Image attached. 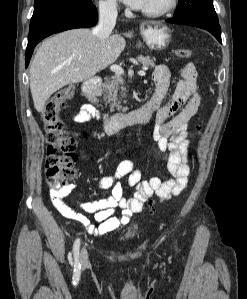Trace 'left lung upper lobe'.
<instances>
[{
	"mask_svg": "<svg viewBox=\"0 0 247 299\" xmlns=\"http://www.w3.org/2000/svg\"><path fill=\"white\" fill-rule=\"evenodd\" d=\"M194 12L218 19L212 0H179L174 17Z\"/></svg>",
	"mask_w": 247,
	"mask_h": 299,
	"instance_id": "5c2ea615",
	"label": "left lung upper lobe"
}]
</instances>
